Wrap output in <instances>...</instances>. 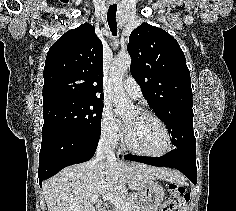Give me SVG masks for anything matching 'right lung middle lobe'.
<instances>
[{
  "label": "right lung middle lobe",
  "mask_w": 236,
  "mask_h": 211,
  "mask_svg": "<svg viewBox=\"0 0 236 211\" xmlns=\"http://www.w3.org/2000/svg\"><path fill=\"white\" fill-rule=\"evenodd\" d=\"M102 112L101 100L58 99L43 105V130L64 128L100 136Z\"/></svg>",
  "instance_id": "dd1d6c3e"
}]
</instances>
